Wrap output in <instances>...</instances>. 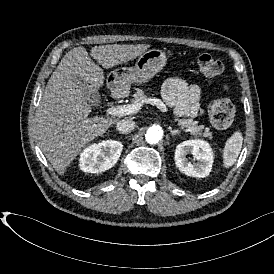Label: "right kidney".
<instances>
[{
	"instance_id": "right-kidney-1",
	"label": "right kidney",
	"mask_w": 274,
	"mask_h": 274,
	"mask_svg": "<svg viewBox=\"0 0 274 274\" xmlns=\"http://www.w3.org/2000/svg\"><path fill=\"white\" fill-rule=\"evenodd\" d=\"M123 144L117 140H105L86 147L79 158V167L87 173H101L112 168L121 155Z\"/></svg>"
}]
</instances>
